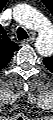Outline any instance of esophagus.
<instances>
[{
    "label": "esophagus",
    "mask_w": 53,
    "mask_h": 120,
    "mask_svg": "<svg viewBox=\"0 0 53 120\" xmlns=\"http://www.w3.org/2000/svg\"><path fill=\"white\" fill-rule=\"evenodd\" d=\"M34 40H35V37L32 36L29 39H26V40L22 41L21 43H22V45L31 44V43L34 42Z\"/></svg>",
    "instance_id": "34e87169"
}]
</instances>
